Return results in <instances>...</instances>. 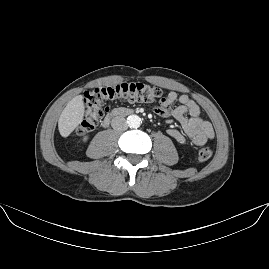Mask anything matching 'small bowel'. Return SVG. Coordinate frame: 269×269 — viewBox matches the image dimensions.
I'll return each mask as SVG.
<instances>
[{"label":"small bowel","mask_w":269,"mask_h":269,"mask_svg":"<svg viewBox=\"0 0 269 269\" xmlns=\"http://www.w3.org/2000/svg\"><path fill=\"white\" fill-rule=\"evenodd\" d=\"M175 104L177 106H174ZM156 113L162 117H173L196 146H203L214 138L212 124L201 117L198 105L187 95L168 92L161 100ZM168 134L181 144L186 142L184 134L177 129L168 130Z\"/></svg>","instance_id":"obj_1"}]
</instances>
